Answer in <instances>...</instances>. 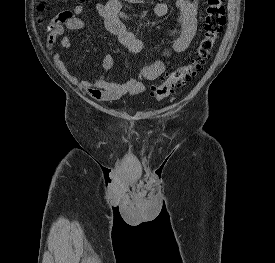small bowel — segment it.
Segmentation results:
<instances>
[{"label":"small bowel","instance_id":"1","mask_svg":"<svg viewBox=\"0 0 275 263\" xmlns=\"http://www.w3.org/2000/svg\"><path fill=\"white\" fill-rule=\"evenodd\" d=\"M144 0H109L97 3L95 10L105 29L119 40V42L133 54L142 52L145 40L137 37L128 30L123 23L127 16L124 12V3H141ZM174 5L179 11L178 26L169 32L172 41L162 50L159 60L145 64L137 75L126 82L108 80L105 74L113 67L114 58L106 54L102 60L104 73L93 80H83L73 75L67 68L62 53H53L56 42L62 48L72 46L67 31L84 29L85 21L80 17L85 6L78 4L73 8L65 9L57 14L51 21L47 34V48L52 54L53 62L59 72L74 86L86 92L97 101H116L125 95H135L144 92L145 82L153 81L160 77L172 65L174 54L186 51L197 31L199 0H174ZM169 13L167 1H160L154 7V16L162 18Z\"/></svg>","mask_w":275,"mask_h":263}]
</instances>
